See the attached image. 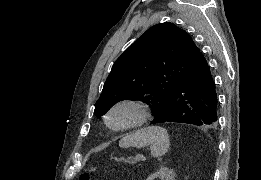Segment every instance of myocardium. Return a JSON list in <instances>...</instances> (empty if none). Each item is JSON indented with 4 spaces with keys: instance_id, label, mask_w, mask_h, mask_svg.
Masks as SVG:
<instances>
[{
    "instance_id": "1",
    "label": "myocardium",
    "mask_w": 261,
    "mask_h": 180,
    "mask_svg": "<svg viewBox=\"0 0 261 180\" xmlns=\"http://www.w3.org/2000/svg\"><path fill=\"white\" fill-rule=\"evenodd\" d=\"M128 110L129 116L123 121L116 120V114ZM147 118L146 104L137 98H122L110 105L106 112L105 122L115 132H124L142 125Z\"/></svg>"
}]
</instances>
